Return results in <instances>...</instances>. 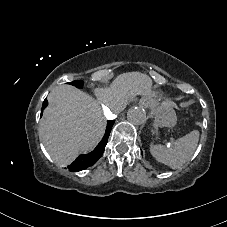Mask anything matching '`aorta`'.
Wrapping results in <instances>:
<instances>
[{"label":"aorta","instance_id":"aorta-1","mask_svg":"<svg viewBox=\"0 0 227 227\" xmlns=\"http://www.w3.org/2000/svg\"><path fill=\"white\" fill-rule=\"evenodd\" d=\"M127 119L134 125H140L146 122V111L140 107H131L127 112Z\"/></svg>","mask_w":227,"mask_h":227}]
</instances>
